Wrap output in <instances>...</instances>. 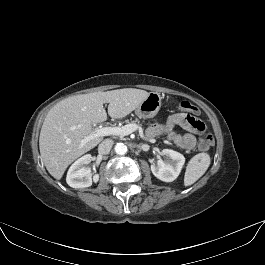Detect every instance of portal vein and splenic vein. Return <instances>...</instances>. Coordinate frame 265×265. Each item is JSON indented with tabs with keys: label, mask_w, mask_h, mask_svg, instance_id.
<instances>
[{
	"label": "portal vein and splenic vein",
	"mask_w": 265,
	"mask_h": 265,
	"mask_svg": "<svg viewBox=\"0 0 265 265\" xmlns=\"http://www.w3.org/2000/svg\"><path fill=\"white\" fill-rule=\"evenodd\" d=\"M80 128V125L77 126ZM139 127L136 124H127L122 127H101V128H94V134L87 136L85 139L82 140L81 145H84L94 137L100 136H126L131 134L132 132L138 130Z\"/></svg>",
	"instance_id": "18ae733b"
}]
</instances>
